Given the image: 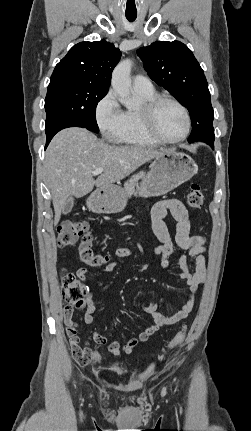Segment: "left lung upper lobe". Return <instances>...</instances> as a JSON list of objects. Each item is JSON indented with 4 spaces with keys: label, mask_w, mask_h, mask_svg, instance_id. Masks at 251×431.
<instances>
[{
    "label": "left lung upper lobe",
    "mask_w": 251,
    "mask_h": 431,
    "mask_svg": "<svg viewBox=\"0 0 251 431\" xmlns=\"http://www.w3.org/2000/svg\"><path fill=\"white\" fill-rule=\"evenodd\" d=\"M137 54L150 78L188 109L192 120L188 141H203L214 148V112L210 92L192 51L179 41H158L139 48Z\"/></svg>",
    "instance_id": "1"
}]
</instances>
